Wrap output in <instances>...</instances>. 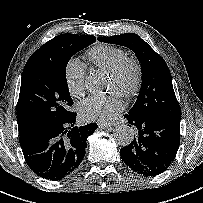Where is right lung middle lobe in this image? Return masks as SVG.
<instances>
[{
	"mask_svg": "<svg viewBox=\"0 0 203 203\" xmlns=\"http://www.w3.org/2000/svg\"><path fill=\"white\" fill-rule=\"evenodd\" d=\"M96 41L76 36L51 55L26 63L21 80L17 113L34 130L61 121L71 114L73 102L66 82V66L78 51Z\"/></svg>",
	"mask_w": 203,
	"mask_h": 203,
	"instance_id": "right-lung-middle-lobe-1",
	"label": "right lung middle lobe"
}]
</instances>
